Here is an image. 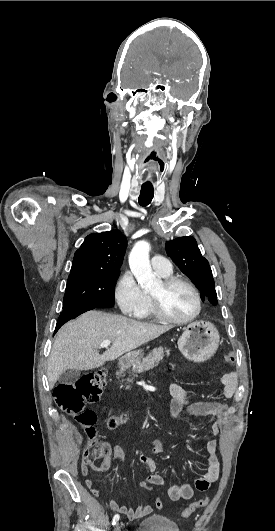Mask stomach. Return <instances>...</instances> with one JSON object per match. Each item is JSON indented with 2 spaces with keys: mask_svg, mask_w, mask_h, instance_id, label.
<instances>
[{
  "mask_svg": "<svg viewBox=\"0 0 275 531\" xmlns=\"http://www.w3.org/2000/svg\"><path fill=\"white\" fill-rule=\"evenodd\" d=\"M220 345V335L212 323L196 321L185 329L178 341V349L186 359L195 363H204L213 357ZM141 351H130L121 357L122 363H136L143 359Z\"/></svg>",
  "mask_w": 275,
  "mask_h": 531,
  "instance_id": "1",
  "label": "stomach"
}]
</instances>
